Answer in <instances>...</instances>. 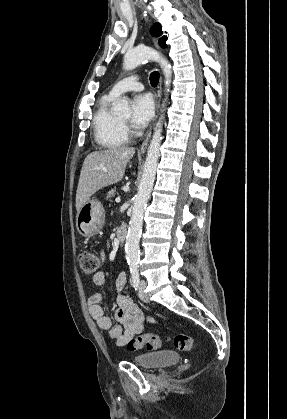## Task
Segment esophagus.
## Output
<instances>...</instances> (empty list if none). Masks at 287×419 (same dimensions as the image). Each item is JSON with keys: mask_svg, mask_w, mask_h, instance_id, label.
Wrapping results in <instances>:
<instances>
[{"mask_svg": "<svg viewBox=\"0 0 287 419\" xmlns=\"http://www.w3.org/2000/svg\"><path fill=\"white\" fill-rule=\"evenodd\" d=\"M154 43H155V45L157 47V41L154 40ZM161 94H162V77H160V80H159L158 91H157V96H156V98H157V101H156V108H157V110L159 108ZM151 130L152 129L149 130V132L147 133V136H146L145 140L143 141L142 145L140 146L139 152H141V153L145 152L146 149H147V146H148V143H149V140H150V137H151Z\"/></svg>", "mask_w": 287, "mask_h": 419, "instance_id": "34e87169", "label": "esophagus"}]
</instances>
